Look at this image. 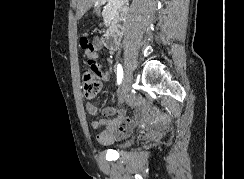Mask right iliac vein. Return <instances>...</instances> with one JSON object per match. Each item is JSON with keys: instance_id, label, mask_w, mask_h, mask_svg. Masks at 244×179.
I'll return each mask as SVG.
<instances>
[{"instance_id": "63e3f726", "label": "right iliac vein", "mask_w": 244, "mask_h": 179, "mask_svg": "<svg viewBox=\"0 0 244 179\" xmlns=\"http://www.w3.org/2000/svg\"><path fill=\"white\" fill-rule=\"evenodd\" d=\"M132 82V76L128 69L124 74V78L121 81V88L119 93V102L120 104L124 102V98L126 97L127 93L130 91V85Z\"/></svg>"}]
</instances>
